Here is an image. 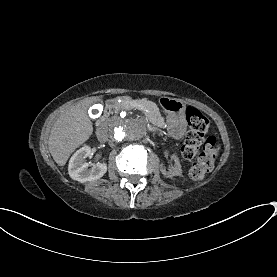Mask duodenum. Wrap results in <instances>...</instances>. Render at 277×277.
Segmentation results:
<instances>
[{
    "label": "duodenum",
    "instance_id": "duodenum-1",
    "mask_svg": "<svg viewBox=\"0 0 277 277\" xmlns=\"http://www.w3.org/2000/svg\"><path fill=\"white\" fill-rule=\"evenodd\" d=\"M116 98H111L107 101L105 108H104V112H103V117H106L110 114L114 104L116 103Z\"/></svg>",
    "mask_w": 277,
    "mask_h": 277
}]
</instances>
